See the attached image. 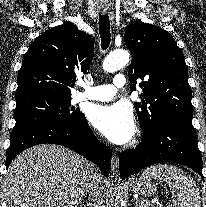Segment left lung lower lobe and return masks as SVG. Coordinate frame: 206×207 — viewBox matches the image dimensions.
<instances>
[{
	"label": "left lung lower lobe",
	"instance_id": "0a47b994",
	"mask_svg": "<svg viewBox=\"0 0 206 207\" xmlns=\"http://www.w3.org/2000/svg\"><path fill=\"white\" fill-rule=\"evenodd\" d=\"M160 162L186 165L203 178L202 157L192 118H168L162 120L151 132L143 133V139L138 146L121 153L120 176L125 179Z\"/></svg>",
	"mask_w": 206,
	"mask_h": 207
}]
</instances>
